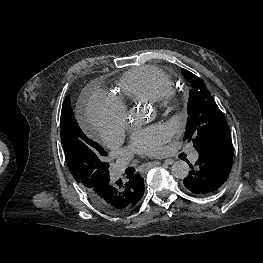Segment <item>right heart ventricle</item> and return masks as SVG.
I'll return each instance as SVG.
<instances>
[{"label":"right heart ventricle","mask_w":263,"mask_h":263,"mask_svg":"<svg viewBox=\"0 0 263 263\" xmlns=\"http://www.w3.org/2000/svg\"><path fill=\"white\" fill-rule=\"evenodd\" d=\"M120 96L117 100L126 108V103L152 102L165 92L173 91L171 78L156 66H141L124 72L117 82Z\"/></svg>","instance_id":"e07e8e85"}]
</instances>
